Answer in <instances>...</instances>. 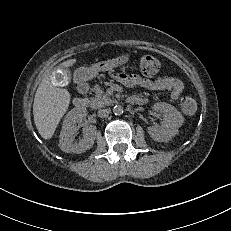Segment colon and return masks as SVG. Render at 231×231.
<instances>
[{
  "mask_svg": "<svg viewBox=\"0 0 231 231\" xmlns=\"http://www.w3.org/2000/svg\"><path fill=\"white\" fill-rule=\"evenodd\" d=\"M139 69L143 75L151 77L160 72L161 63L153 56L144 55L139 59ZM180 104L183 112L188 115L194 114L197 110V102L192 97H183Z\"/></svg>",
  "mask_w": 231,
  "mask_h": 231,
  "instance_id": "1",
  "label": "colon"
}]
</instances>
